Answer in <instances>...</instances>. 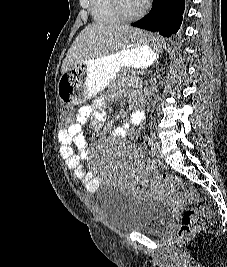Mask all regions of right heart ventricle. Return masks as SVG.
I'll list each match as a JSON object with an SVG mask.
<instances>
[{
  "instance_id": "right-heart-ventricle-1",
  "label": "right heart ventricle",
  "mask_w": 227,
  "mask_h": 267,
  "mask_svg": "<svg viewBox=\"0 0 227 267\" xmlns=\"http://www.w3.org/2000/svg\"><path fill=\"white\" fill-rule=\"evenodd\" d=\"M94 20L100 24H116L120 18L112 9L111 0H90Z\"/></svg>"
}]
</instances>
